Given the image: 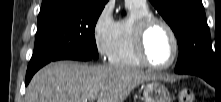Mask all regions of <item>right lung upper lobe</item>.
<instances>
[{
  "label": "right lung upper lobe",
  "mask_w": 221,
  "mask_h": 102,
  "mask_svg": "<svg viewBox=\"0 0 221 102\" xmlns=\"http://www.w3.org/2000/svg\"><path fill=\"white\" fill-rule=\"evenodd\" d=\"M77 1H86L93 7H104L108 0H42L41 9L53 7L57 5L73 3Z\"/></svg>",
  "instance_id": "1"
}]
</instances>
